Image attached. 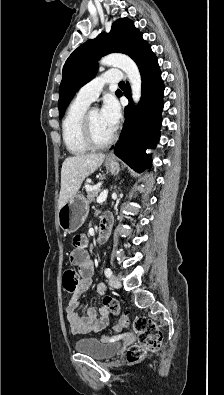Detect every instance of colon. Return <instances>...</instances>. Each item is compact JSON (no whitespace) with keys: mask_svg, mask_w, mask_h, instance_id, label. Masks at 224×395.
Wrapping results in <instances>:
<instances>
[{"mask_svg":"<svg viewBox=\"0 0 224 395\" xmlns=\"http://www.w3.org/2000/svg\"><path fill=\"white\" fill-rule=\"evenodd\" d=\"M78 285V275L75 269L68 268L64 272V288L68 292H74ZM104 304L117 316L115 331L119 332L128 328L130 321L127 315L121 313L120 306L111 297L104 298ZM137 343L131 345L126 351V357L130 362L141 360L147 353L156 352L162 344V333L157 325L145 318L139 317L135 321Z\"/></svg>","mask_w":224,"mask_h":395,"instance_id":"1","label":"colon"}]
</instances>
